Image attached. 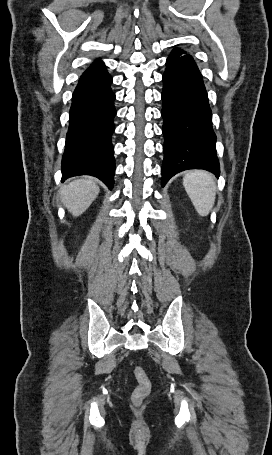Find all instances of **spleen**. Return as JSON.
<instances>
[{
	"label": "spleen",
	"instance_id": "1",
	"mask_svg": "<svg viewBox=\"0 0 272 455\" xmlns=\"http://www.w3.org/2000/svg\"><path fill=\"white\" fill-rule=\"evenodd\" d=\"M184 188L200 216H207L215 203L216 182L211 173L189 171L183 178Z\"/></svg>",
	"mask_w": 272,
	"mask_h": 455
}]
</instances>
